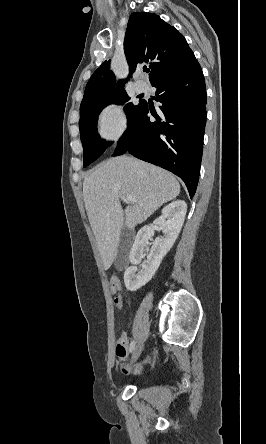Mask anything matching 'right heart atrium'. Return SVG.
I'll list each match as a JSON object with an SVG mask.
<instances>
[{"label": "right heart atrium", "mask_w": 266, "mask_h": 444, "mask_svg": "<svg viewBox=\"0 0 266 444\" xmlns=\"http://www.w3.org/2000/svg\"><path fill=\"white\" fill-rule=\"evenodd\" d=\"M98 134L105 142H115L121 138L127 128V117L122 107L110 103L102 108L99 113Z\"/></svg>", "instance_id": "obj_1"}]
</instances>
